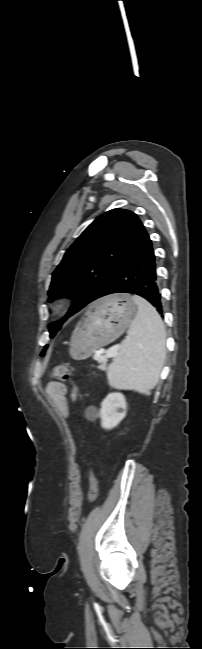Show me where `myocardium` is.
<instances>
[{
	"label": "myocardium",
	"mask_w": 202,
	"mask_h": 649,
	"mask_svg": "<svg viewBox=\"0 0 202 649\" xmlns=\"http://www.w3.org/2000/svg\"><path fill=\"white\" fill-rule=\"evenodd\" d=\"M65 304H66V302H65L64 299L59 300L57 302V304L55 305V312L60 313L64 309Z\"/></svg>",
	"instance_id": "myocardium-1"
}]
</instances>
